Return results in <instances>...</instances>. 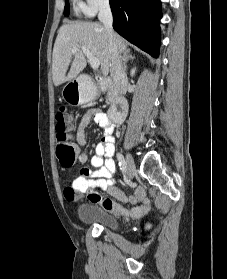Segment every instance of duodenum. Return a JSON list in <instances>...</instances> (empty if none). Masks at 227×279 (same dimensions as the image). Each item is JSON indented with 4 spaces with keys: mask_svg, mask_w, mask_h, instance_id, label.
Masks as SVG:
<instances>
[{
    "mask_svg": "<svg viewBox=\"0 0 227 279\" xmlns=\"http://www.w3.org/2000/svg\"><path fill=\"white\" fill-rule=\"evenodd\" d=\"M112 82L110 79L106 77H101L97 86L99 90H103L108 86H111ZM83 96L87 95L86 93H82ZM95 100V97H90L89 99L83 100L82 104H89ZM128 110V100L124 98H119L114 108H112L109 112V117L111 121L116 124L122 123L127 115Z\"/></svg>",
    "mask_w": 227,
    "mask_h": 279,
    "instance_id": "1",
    "label": "duodenum"
}]
</instances>
